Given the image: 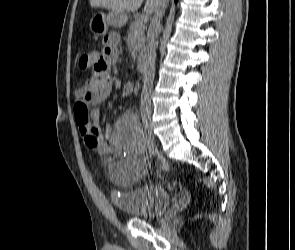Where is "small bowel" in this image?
<instances>
[{
    "label": "small bowel",
    "instance_id": "c3829d8e",
    "mask_svg": "<svg viewBox=\"0 0 295 250\" xmlns=\"http://www.w3.org/2000/svg\"><path fill=\"white\" fill-rule=\"evenodd\" d=\"M118 44L119 36L110 33L104 39L103 48L91 54L92 74L76 89V102L84 101L89 105H96L111 94V65L119 57ZM130 91L131 85L128 84L124 94L127 95ZM79 133L87 149L99 154L114 152L118 156L109 169V177L118 187L124 188L134 184L150 167L149 160L143 155L142 131L133 112H125L114 126L106 124L102 131L99 126V113L92 110L90 122L86 126L79 125Z\"/></svg>",
    "mask_w": 295,
    "mask_h": 250
}]
</instances>
